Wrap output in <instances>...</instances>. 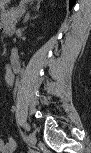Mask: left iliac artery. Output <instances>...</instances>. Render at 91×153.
Returning <instances> with one entry per match:
<instances>
[{
    "mask_svg": "<svg viewBox=\"0 0 91 153\" xmlns=\"http://www.w3.org/2000/svg\"><path fill=\"white\" fill-rule=\"evenodd\" d=\"M26 127H28V126H26ZM26 127H24L23 132H21V135H24L23 136L24 143H26V146H29V136H27L28 129H26Z\"/></svg>",
    "mask_w": 91,
    "mask_h": 153,
    "instance_id": "left-iliac-artery-1",
    "label": "left iliac artery"
}]
</instances>
